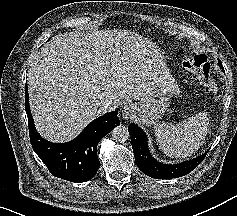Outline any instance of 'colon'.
Wrapping results in <instances>:
<instances>
[{
	"instance_id": "1",
	"label": "colon",
	"mask_w": 237,
	"mask_h": 216,
	"mask_svg": "<svg viewBox=\"0 0 237 216\" xmlns=\"http://www.w3.org/2000/svg\"><path fill=\"white\" fill-rule=\"evenodd\" d=\"M183 65L189 70L198 73L208 84H212L211 65L205 55H191L187 51H182Z\"/></svg>"
}]
</instances>
